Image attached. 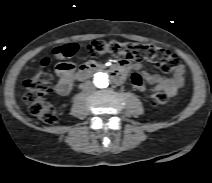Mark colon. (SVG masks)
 <instances>
[{
  "instance_id": "obj_1",
  "label": "colon",
  "mask_w": 212,
  "mask_h": 183,
  "mask_svg": "<svg viewBox=\"0 0 212 183\" xmlns=\"http://www.w3.org/2000/svg\"><path fill=\"white\" fill-rule=\"evenodd\" d=\"M86 48L95 55L112 54L128 60H148L166 73H174L179 66L178 58L169 50L151 44L95 40ZM78 49L77 44L68 43L54 48L52 55L66 60L75 55ZM49 64L50 60L45 58L41 68L25 80L24 88L25 101L30 112L46 123H53L57 119V112L54 104L48 100L52 86L50 76L45 69ZM58 66L62 70H73V65L67 61L60 62ZM151 100L154 104L161 105L169 100V96L163 91H157L151 94Z\"/></svg>"
}]
</instances>
